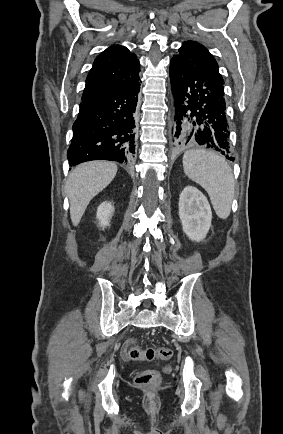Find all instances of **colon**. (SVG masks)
<instances>
[{
    "label": "colon",
    "instance_id": "1",
    "mask_svg": "<svg viewBox=\"0 0 283 434\" xmlns=\"http://www.w3.org/2000/svg\"><path fill=\"white\" fill-rule=\"evenodd\" d=\"M173 352L168 347L146 348L141 349L136 345H131L128 348V356L132 360H169ZM161 381V374L153 369H145L137 374L135 383L140 386H152Z\"/></svg>",
    "mask_w": 283,
    "mask_h": 434
}]
</instances>
